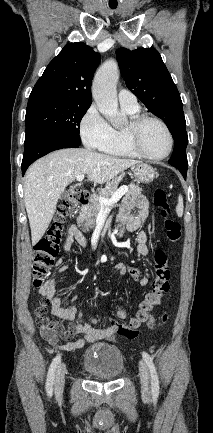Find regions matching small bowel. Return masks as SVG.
I'll use <instances>...</instances> for the list:
<instances>
[{
	"mask_svg": "<svg viewBox=\"0 0 213 433\" xmlns=\"http://www.w3.org/2000/svg\"><path fill=\"white\" fill-rule=\"evenodd\" d=\"M148 214L149 202L145 196L139 195L136 197L126 198L118 215V228L122 227L128 231L137 230L144 226ZM136 240L137 252L141 256H148L150 247L146 231L139 230L136 235ZM74 243H78L82 247L87 246V240L78 227L76 225H70L66 230L63 244L64 250L71 252ZM59 265L61 270L67 268V263L64 260H60ZM115 269L120 275H129L132 277L141 287L147 286L151 278V273L149 271L142 274L138 268L130 267L123 263H117ZM39 293L50 305L51 314L55 318L66 321L70 324L68 329H63L58 323L52 321V325L49 328H41L42 337L55 348L59 350L73 351L102 339H115L116 330L112 327L95 328L88 324L79 323L77 321L76 308L73 306H64L62 304L61 298L57 295L53 279H48L40 287ZM75 334H81L82 337L66 344H59V337L69 338Z\"/></svg>",
	"mask_w": 213,
	"mask_h": 433,
	"instance_id": "c3829d8e",
	"label": "small bowel"
}]
</instances>
